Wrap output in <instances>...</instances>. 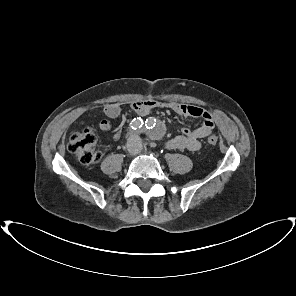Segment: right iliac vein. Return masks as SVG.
Listing matches in <instances>:
<instances>
[{
	"label": "right iliac vein",
	"instance_id": "63e3f726",
	"mask_svg": "<svg viewBox=\"0 0 296 296\" xmlns=\"http://www.w3.org/2000/svg\"><path fill=\"white\" fill-rule=\"evenodd\" d=\"M127 151L130 155L134 154V150L131 146H127Z\"/></svg>",
	"mask_w": 296,
	"mask_h": 296
}]
</instances>
